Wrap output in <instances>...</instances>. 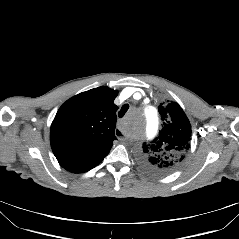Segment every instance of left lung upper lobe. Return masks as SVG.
<instances>
[{"label":"left lung upper lobe","mask_w":239,"mask_h":239,"mask_svg":"<svg viewBox=\"0 0 239 239\" xmlns=\"http://www.w3.org/2000/svg\"><path fill=\"white\" fill-rule=\"evenodd\" d=\"M158 110L163 128L152 141L144 143L141 162L152 172L166 174L183 162L190 148L191 125L177 102H163Z\"/></svg>","instance_id":"5c2ea615"}]
</instances>
